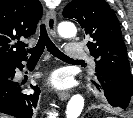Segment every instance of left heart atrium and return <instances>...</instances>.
<instances>
[{"label":"left heart atrium","instance_id":"1","mask_svg":"<svg viewBox=\"0 0 133 118\" xmlns=\"http://www.w3.org/2000/svg\"><path fill=\"white\" fill-rule=\"evenodd\" d=\"M49 84L53 88L63 89L68 84V78L63 71L57 70L51 74V76L49 78Z\"/></svg>","mask_w":133,"mask_h":118}]
</instances>
